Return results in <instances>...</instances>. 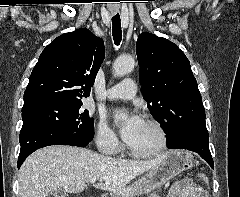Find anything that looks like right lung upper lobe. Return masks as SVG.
I'll return each mask as SVG.
<instances>
[{
  "instance_id": "right-lung-upper-lobe-1",
  "label": "right lung upper lobe",
  "mask_w": 240,
  "mask_h": 197,
  "mask_svg": "<svg viewBox=\"0 0 240 197\" xmlns=\"http://www.w3.org/2000/svg\"><path fill=\"white\" fill-rule=\"evenodd\" d=\"M104 43L79 28L54 39L41 53L24 93L22 110L51 103H82L104 60Z\"/></svg>"
}]
</instances>
